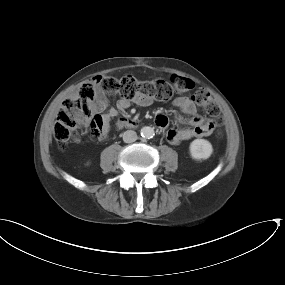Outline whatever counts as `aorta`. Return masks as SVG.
<instances>
[{
    "mask_svg": "<svg viewBox=\"0 0 285 285\" xmlns=\"http://www.w3.org/2000/svg\"><path fill=\"white\" fill-rule=\"evenodd\" d=\"M141 136L146 139H150L154 136V129L149 126H145L141 129Z\"/></svg>",
    "mask_w": 285,
    "mask_h": 285,
    "instance_id": "1",
    "label": "aorta"
}]
</instances>
